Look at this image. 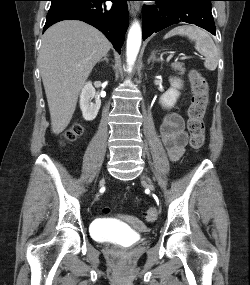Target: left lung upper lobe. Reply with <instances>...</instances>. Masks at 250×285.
I'll return each mask as SVG.
<instances>
[{
    "label": "left lung upper lobe",
    "mask_w": 250,
    "mask_h": 285,
    "mask_svg": "<svg viewBox=\"0 0 250 285\" xmlns=\"http://www.w3.org/2000/svg\"><path fill=\"white\" fill-rule=\"evenodd\" d=\"M166 1H174V0H166ZM199 1L211 5V1L213 0H199Z\"/></svg>",
    "instance_id": "obj_1"
}]
</instances>
